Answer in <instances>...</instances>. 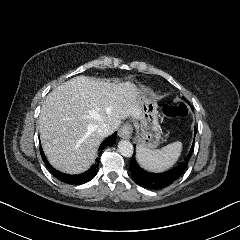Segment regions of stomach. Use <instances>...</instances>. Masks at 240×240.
Segmentation results:
<instances>
[{
  "label": "stomach",
  "instance_id": "obj_1",
  "mask_svg": "<svg viewBox=\"0 0 240 240\" xmlns=\"http://www.w3.org/2000/svg\"><path fill=\"white\" fill-rule=\"evenodd\" d=\"M138 99L141 102L142 113L135 122L138 147L155 149L161 140V128L158 121V98L142 85H137Z\"/></svg>",
  "mask_w": 240,
  "mask_h": 240
}]
</instances>
